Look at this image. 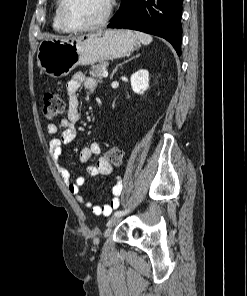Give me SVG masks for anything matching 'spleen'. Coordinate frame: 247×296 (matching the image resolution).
Wrapping results in <instances>:
<instances>
[{
  "instance_id": "spleen-1",
  "label": "spleen",
  "mask_w": 247,
  "mask_h": 296,
  "mask_svg": "<svg viewBox=\"0 0 247 296\" xmlns=\"http://www.w3.org/2000/svg\"><path fill=\"white\" fill-rule=\"evenodd\" d=\"M136 36L138 37L139 41L144 44V45H148L152 42V36L148 35L146 33H142V32H138L136 31Z\"/></svg>"
}]
</instances>
